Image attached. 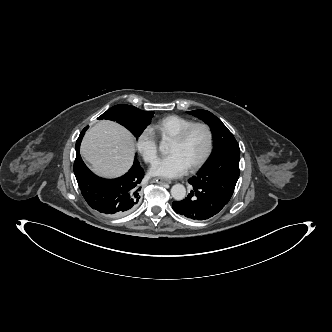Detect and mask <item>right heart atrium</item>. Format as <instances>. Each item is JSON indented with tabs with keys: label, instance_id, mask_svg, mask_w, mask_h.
Masks as SVG:
<instances>
[{
	"label": "right heart atrium",
	"instance_id": "right-heart-atrium-1",
	"mask_svg": "<svg viewBox=\"0 0 332 332\" xmlns=\"http://www.w3.org/2000/svg\"><path fill=\"white\" fill-rule=\"evenodd\" d=\"M137 150L147 163H153L157 157V140L150 128L140 132L137 137Z\"/></svg>",
	"mask_w": 332,
	"mask_h": 332
}]
</instances>
